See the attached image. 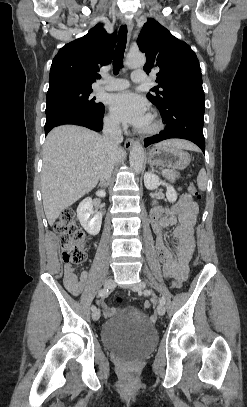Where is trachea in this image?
Here are the masks:
<instances>
[{"label": "trachea", "mask_w": 247, "mask_h": 407, "mask_svg": "<svg viewBox=\"0 0 247 407\" xmlns=\"http://www.w3.org/2000/svg\"><path fill=\"white\" fill-rule=\"evenodd\" d=\"M126 40H127V26L121 25L118 34V43L114 52L113 59V72L115 75H117L119 73V70L123 68V58L126 47Z\"/></svg>", "instance_id": "1"}]
</instances>
